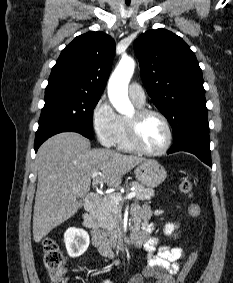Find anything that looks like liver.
Returning <instances> with one entry per match:
<instances>
[{
    "instance_id": "liver-1",
    "label": "liver",
    "mask_w": 233,
    "mask_h": 283,
    "mask_svg": "<svg viewBox=\"0 0 233 283\" xmlns=\"http://www.w3.org/2000/svg\"><path fill=\"white\" fill-rule=\"evenodd\" d=\"M144 161L143 157L108 149L91 150L89 140L76 132H62L49 138L36 156L34 241L40 242L78 211V199L89 192L92 179L93 186L106 183L117 187L123 175ZM94 172L101 174L93 178Z\"/></svg>"
}]
</instances>
